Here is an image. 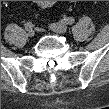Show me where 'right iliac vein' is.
Instances as JSON below:
<instances>
[{"label": "right iliac vein", "instance_id": "obj_1", "mask_svg": "<svg viewBox=\"0 0 109 109\" xmlns=\"http://www.w3.org/2000/svg\"><path fill=\"white\" fill-rule=\"evenodd\" d=\"M27 34H28L29 37H33L35 35V30L29 29V30H27Z\"/></svg>", "mask_w": 109, "mask_h": 109}]
</instances>
